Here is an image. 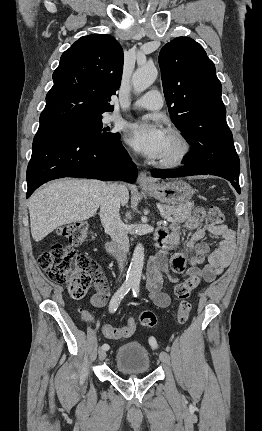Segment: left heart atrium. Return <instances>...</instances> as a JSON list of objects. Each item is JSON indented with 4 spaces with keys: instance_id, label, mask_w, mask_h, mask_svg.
<instances>
[{
    "instance_id": "1",
    "label": "left heart atrium",
    "mask_w": 262,
    "mask_h": 431,
    "mask_svg": "<svg viewBox=\"0 0 262 431\" xmlns=\"http://www.w3.org/2000/svg\"><path fill=\"white\" fill-rule=\"evenodd\" d=\"M166 137V130L157 122H135L130 124L126 130V141L152 159L159 158Z\"/></svg>"
}]
</instances>
